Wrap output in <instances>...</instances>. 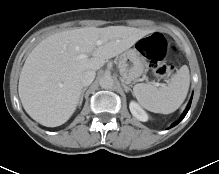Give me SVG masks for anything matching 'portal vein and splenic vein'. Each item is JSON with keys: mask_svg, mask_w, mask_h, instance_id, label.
Instances as JSON below:
<instances>
[{"mask_svg": "<svg viewBox=\"0 0 219 174\" xmlns=\"http://www.w3.org/2000/svg\"><path fill=\"white\" fill-rule=\"evenodd\" d=\"M103 42L101 41V40H98L97 42H96V44L99 46V45H101ZM88 57V55L87 54H82V55H80V58H87ZM156 85H159V83H156Z\"/></svg>", "mask_w": 219, "mask_h": 174, "instance_id": "portal-vein-and-splenic-vein-1", "label": "portal vein and splenic vein"}]
</instances>
